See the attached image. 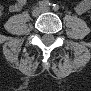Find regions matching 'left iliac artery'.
Returning a JSON list of instances; mask_svg holds the SVG:
<instances>
[{
    "instance_id": "obj_1",
    "label": "left iliac artery",
    "mask_w": 91,
    "mask_h": 91,
    "mask_svg": "<svg viewBox=\"0 0 91 91\" xmlns=\"http://www.w3.org/2000/svg\"><path fill=\"white\" fill-rule=\"evenodd\" d=\"M52 6H53L52 8H53L54 11H58L59 10V6L57 4H53Z\"/></svg>"
}]
</instances>
